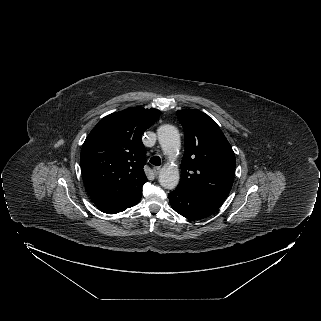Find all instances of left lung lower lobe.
Here are the masks:
<instances>
[{"instance_id":"obj_1","label":"left lung lower lobe","mask_w":321,"mask_h":321,"mask_svg":"<svg viewBox=\"0 0 321 321\" xmlns=\"http://www.w3.org/2000/svg\"><path fill=\"white\" fill-rule=\"evenodd\" d=\"M169 202L177 213L190 220L206 218L223 204V200L196 196L177 189L169 193Z\"/></svg>"}]
</instances>
